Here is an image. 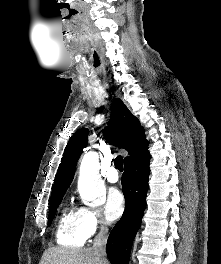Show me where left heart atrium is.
<instances>
[{
	"instance_id": "39dd6f15",
	"label": "left heart atrium",
	"mask_w": 221,
	"mask_h": 264,
	"mask_svg": "<svg viewBox=\"0 0 221 264\" xmlns=\"http://www.w3.org/2000/svg\"><path fill=\"white\" fill-rule=\"evenodd\" d=\"M125 207L123 194L117 189L112 188L108 191L105 202V216L108 220L113 221L118 219Z\"/></svg>"
}]
</instances>
